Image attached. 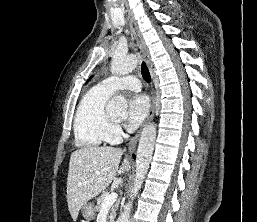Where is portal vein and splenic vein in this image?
<instances>
[{
    "label": "portal vein and splenic vein",
    "instance_id": "18ae733b",
    "mask_svg": "<svg viewBox=\"0 0 257 222\" xmlns=\"http://www.w3.org/2000/svg\"><path fill=\"white\" fill-rule=\"evenodd\" d=\"M118 195L112 193L105 197L104 202L102 204V209L110 207L113 203L116 202Z\"/></svg>",
    "mask_w": 257,
    "mask_h": 222
}]
</instances>
